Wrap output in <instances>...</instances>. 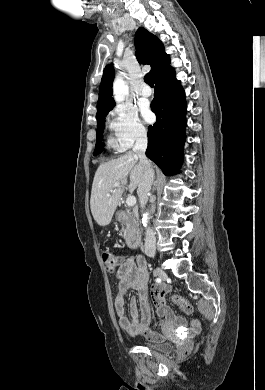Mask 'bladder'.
Wrapping results in <instances>:
<instances>
[{
  "mask_svg": "<svg viewBox=\"0 0 265 390\" xmlns=\"http://www.w3.org/2000/svg\"><path fill=\"white\" fill-rule=\"evenodd\" d=\"M141 344L161 352H170L172 350V344L170 342L160 340L159 338L152 339L145 337L142 339Z\"/></svg>",
  "mask_w": 265,
  "mask_h": 390,
  "instance_id": "31cf9c89",
  "label": "bladder"
}]
</instances>
